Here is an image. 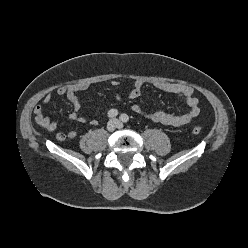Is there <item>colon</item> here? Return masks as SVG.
Returning a JSON list of instances; mask_svg holds the SVG:
<instances>
[{
	"label": "colon",
	"instance_id": "colon-1",
	"mask_svg": "<svg viewBox=\"0 0 248 248\" xmlns=\"http://www.w3.org/2000/svg\"><path fill=\"white\" fill-rule=\"evenodd\" d=\"M193 134L199 135L201 133V128L199 126H195L192 129Z\"/></svg>",
	"mask_w": 248,
	"mask_h": 248
}]
</instances>
